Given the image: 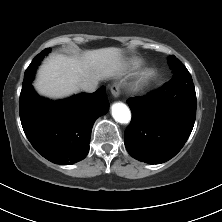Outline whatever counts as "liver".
<instances>
[{
  "instance_id": "6515ba94",
  "label": "liver",
  "mask_w": 222,
  "mask_h": 222,
  "mask_svg": "<svg viewBox=\"0 0 222 222\" xmlns=\"http://www.w3.org/2000/svg\"><path fill=\"white\" fill-rule=\"evenodd\" d=\"M122 68V51L108 47L66 56L53 54L40 67L34 87L45 97L58 99L76 93L80 83L103 80Z\"/></svg>"
}]
</instances>
